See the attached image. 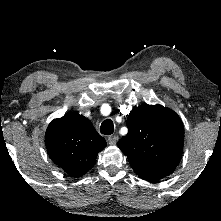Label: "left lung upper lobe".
Returning a JSON list of instances; mask_svg holds the SVG:
<instances>
[{"instance_id":"1","label":"left lung upper lobe","mask_w":221,"mask_h":221,"mask_svg":"<svg viewBox=\"0 0 221 221\" xmlns=\"http://www.w3.org/2000/svg\"><path fill=\"white\" fill-rule=\"evenodd\" d=\"M128 133L118 141L135 173L154 182L179 164L184 130L176 112L161 105L139 106L127 118Z\"/></svg>"}]
</instances>
